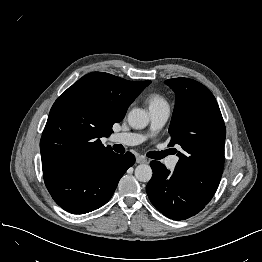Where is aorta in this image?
Instances as JSON below:
<instances>
[{"label":"aorta","mask_w":262,"mask_h":262,"mask_svg":"<svg viewBox=\"0 0 262 262\" xmlns=\"http://www.w3.org/2000/svg\"><path fill=\"white\" fill-rule=\"evenodd\" d=\"M128 123L132 128L142 129L149 123L148 113L144 109L134 108L128 114ZM135 177L140 182H148L152 178V169L147 164L135 168Z\"/></svg>","instance_id":"obj_1"}]
</instances>
